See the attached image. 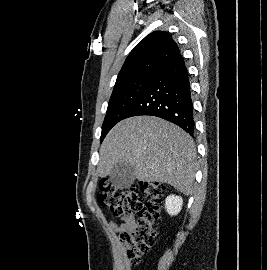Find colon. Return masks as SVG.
<instances>
[{
	"instance_id": "obj_1",
	"label": "colon",
	"mask_w": 267,
	"mask_h": 270,
	"mask_svg": "<svg viewBox=\"0 0 267 270\" xmlns=\"http://www.w3.org/2000/svg\"><path fill=\"white\" fill-rule=\"evenodd\" d=\"M164 192L161 184L153 182H143L127 189L116 187L107 180L99 183L98 203L111 214H138L130 226L120 231V241L132 264H137L155 243Z\"/></svg>"
}]
</instances>
